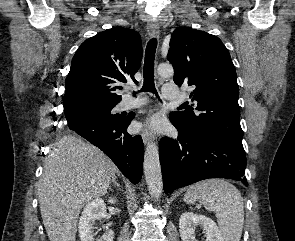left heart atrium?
I'll use <instances>...</instances> for the list:
<instances>
[{"label":"left heart atrium","instance_id":"39dd6f15","mask_svg":"<svg viewBox=\"0 0 295 241\" xmlns=\"http://www.w3.org/2000/svg\"><path fill=\"white\" fill-rule=\"evenodd\" d=\"M151 126L153 128H159L160 127V122L158 120H152Z\"/></svg>","mask_w":295,"mask_h":241}]
</instances>
